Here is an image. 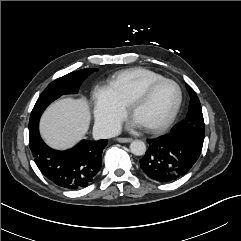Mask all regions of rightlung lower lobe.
<instances>
[{
    "instance_id": "right-lung-lower-lobe-1",
    "label": "right lung lower lobe",
    "mask_w": 241,
    "mask_h": 241,
    "mask_svg": "<svg viewBox=\"0 0 241 241\" xmlns=\"http://www.w3.org/2000/svg\"><path fill=\"white\" fill-rule=\"evenodd\" d=\"M107 140H82L72 149L57 151L40 137L39 122L29 127V146L43 175L66 189H79L90 184L101 168V156Z\"/></svg>"
}]
</instances>
